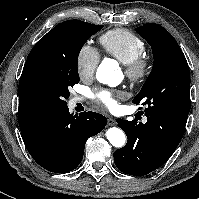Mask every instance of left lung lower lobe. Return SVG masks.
I'll list each match as a JSON object with an SVG mask.
<instances>
[{"instance_id":"0a47b994","label":"left lung lower lobe","mask_w":199,"mask_h":199,"mask_svg":"<svg viewBox=\"0 0 199 199\" xmlns=\"http://www.w3.org/2000/svg\"><path fill=\"white\" fill-rule=\"evenodd\" d=\"M189 112L156 106L145 113L147 122L117 119L127 135L125 147L114 152L117 168L129 175H146L161 167L180 143Z\"/></svg>"}]
</instances>
